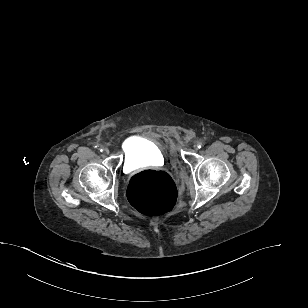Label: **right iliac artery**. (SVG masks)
Wrapping results in <instances>:
<instances>
[{
	"instance_id": "obj_1",
	"label": "right iliac artery",
	"mask_w": 308,
	"mask_h": 308,
	"mask_svg": "<svg viewBox=\"0 0 308 308\" xmlns=\"http://www.w3.org/2000/svg\"><path fill=\"white\" fill-rule=\"evenodd\" d=\"M100 152H102L103 150H104V148H103V146H99V145H97V146H95Z\"/></svg>"
}]
</instances>
